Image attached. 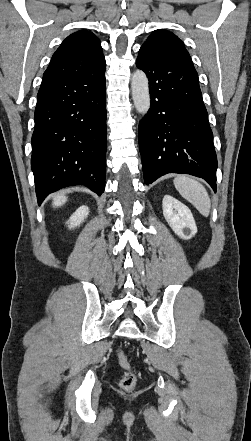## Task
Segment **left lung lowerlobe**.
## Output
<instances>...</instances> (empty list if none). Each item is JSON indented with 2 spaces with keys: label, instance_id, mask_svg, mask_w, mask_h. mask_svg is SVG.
I'll return each mask as SVG.
<instances>
[{
  "label": "left lung lower lobe",
  "instance_id": "1",
  "mask_svg": "<svg viewBox=\"0 0 251 441\" xmlns=\"http://www.w3.org/2000/svg\"><path fill=\"white\" fill-rule=\"evenodd\" d=\"M136 65L148 76L151 97L138 130L145 184L167 173H185L216 191L213 134L194 66L141 49Z\"/></svg>",
  "mask_w": 251,
  "mask_h": 441
}]
</instances>
